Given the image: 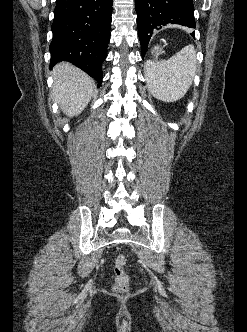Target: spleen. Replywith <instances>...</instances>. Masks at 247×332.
<instances>
[{
	"mask_svg": "<svg viewBox=\"0 0 247 332\" xmlns=\"http://www.w3.org/2000/svg\"><path fill=\"white\" fill-rule=\"evenodd\" d=\"M197 60L193 45L182 48L168 60L149 61L145 77L150 93L165 102L183 98L196 74Z\"/></svg>",
	"mask_w": 247,
	"mask_h": 332,
	"instance_id": "obj_1",
	"label": "spleen"
}]
</instances>
